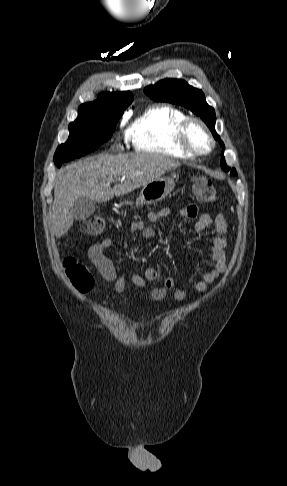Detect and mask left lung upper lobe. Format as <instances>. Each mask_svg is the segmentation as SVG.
Instances as JSON below:
<instances>
[{
	"label": "left lung upper lobe",
	"mask_w": 287,
	"mask_h": 486,
	"mask_svg": "<svg viewBox=\"0 0 287 486\" xmlns=\"http://www.w3.org/2000/svg\"><path fill=\"white\" fill-rule=\"evenodd\" d=\"M144 92L155 101L178 104L190 109L201 117L211 130L214 138L224 147L220 136L215 131V111L206 103L205 96L201 90L188 85L184 80L164 79L155 85L147 86ZM221 167L225 172L237 176L236 170L234 168L230 169L226 165L224 154H222Z\"/></svg>",
	"instance_id": "obj_1"
}]
</instances>
